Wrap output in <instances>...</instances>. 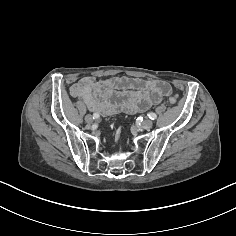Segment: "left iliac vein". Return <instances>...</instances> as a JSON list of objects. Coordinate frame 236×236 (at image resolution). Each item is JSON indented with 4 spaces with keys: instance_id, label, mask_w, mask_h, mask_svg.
Wrapping results in <instances>:
<instances>
[{
    "instance_id": "left-iliac-vein-1",
    "label": "left iliac vein",
    "mask_w": 236,
    "mask_h": 236,
    "mask_svg": "<svg viewBox=\"0 0 236 236\" xmlns=\"http://www.w3.org/2000/svg\"><path fill=\"white\" fill-rule=\"evenodd\" d=\"M152 125H153V122L150 119L144 120L142 122V127L144 129H150L152 127Z\"/></svg>"
}]
</instances>
